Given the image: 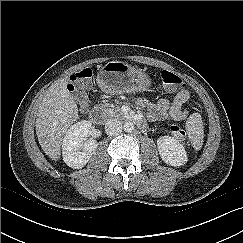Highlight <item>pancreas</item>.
Masks as SVG:
<instances>
[{
  "instance_id": "1",
  "label": "pancreas",
  "mask_w": 243,
  "mask_h": 243,
  "mask_svg": "<svg viewBox=\"0 0 243 243\" xmlns=\"http://www.w3.org/2000/svg\"><path fill=\"white\" fill-rule=\"evenodd\" d=\"M111 107V108H109ZM104 114L107 116V117H116L118 116L119 114H121V110H120V106L118 105H113V104H108V105H105V111H104Z\"/></svg>"
}]
</instances>
